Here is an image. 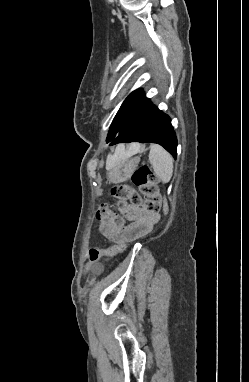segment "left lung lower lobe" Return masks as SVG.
Instances as JSON below:
<instances>
[{
    "label": "left lung lower lobe",
    "mask_w": 249,
    "mask_h": 382,
    "mask_svg": "<svg viewBox=\"0 0 249 382\" xmlns=\"http://www.w3.org/2000/svg\"><path fill=\"white\" fill-rule=\"evenodd\" d=\"M130 142L156 143L163 146L174 158L177 156V138L171 119L153 104L131 128L119 133L109 145Z\"/></svg>",
    "instance_id": "left-lung-lower-lobe-1"
}]
</instances>
